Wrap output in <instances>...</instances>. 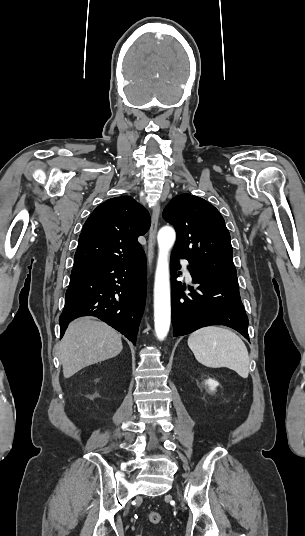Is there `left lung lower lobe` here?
Here are the masks:
<instances>
[{
	"label": "left lung lower lobe",
	"mask_w": 305,
	"mask_h": 536,
	"mask_svg": "<svg viewBox=\"0 0 305 536\" xmlns=\"http://www.w3.org/2000/svg\"><path fill=\"white\" fill-rule=\"evenodd\" d=\"M171 255V313L174 337L187 335L210 325H225L240 332L247 340L248 318L239 294L237 276L200 271L192 266L188 270L197 290L176 281L181 268L178 259Z\"/></svg>",
	"instance_id": "left-lung-lower-lobe-1"
}]
</instances>
